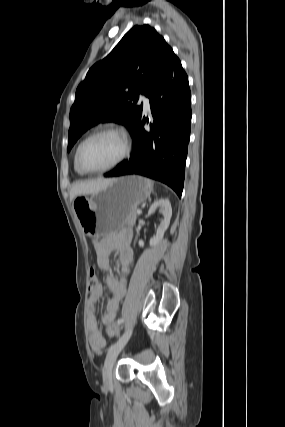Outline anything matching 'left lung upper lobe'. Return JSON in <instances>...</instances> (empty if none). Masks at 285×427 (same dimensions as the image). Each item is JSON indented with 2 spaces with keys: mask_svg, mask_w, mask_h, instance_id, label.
<instances>
[{
  "mask_svg": "<svg viewBox=\"0 0 285 427\" xmlns=\"http://www.w3.org/2000/svg\"><path fill=\"white\" fill-rule=\"evenodd\" d=\"M171 51L154 28L136 25L94 64L78 86L70 110L68 152L99 122L114 121L133 133L142 116V107L136 106L139 94L146 95Z\"/></svg>",
  "mask_w": 285,
  "mask_h": 427,
  "instance_id": "left-lung-upper-lobe-1",
  "label": "left lung upper lobe"
}]
</instances>
